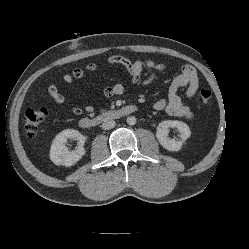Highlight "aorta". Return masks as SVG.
<instances>
[{
	"instance_id": "aorta-1",
	"label": "aorta",
	"mask_w": 249,
	"mask_h": 249,
	"mask_svg": "<svg viewBox=\"0 0 249 249\" xmlns=\"http://www.w3.org/2000/svg\"><path fill=\"white\" fill-rule=\"evenodd\" d=\"M135 123H136V118L134 116H130L127 118V124L135 125Z\"/></svg>"
}]
</instances>
